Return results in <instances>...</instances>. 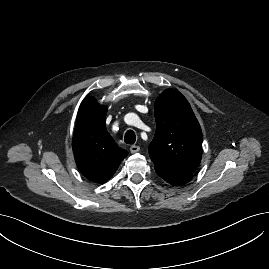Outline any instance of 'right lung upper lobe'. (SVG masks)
I'll return each mask as SVG.
<instances>
[{
  "mask_svg": "<svg viewBox=\"0 0 269 269\" xmlns=\"http://www.w3.org/2000/svg\"><path fill=\"white\" fill-rule=\"evenodd\" d=\"M106 113V107L99 105L93 97H86L78 110L72 140L79 170L97 183L108 181L128 154L106 130Z\"/></svg>",
  "mask_w": 269,
  "mask_h": 269,
  "instance_id": "obj_1",
  "label": "right lung upper lobe"
}]
</instances>
